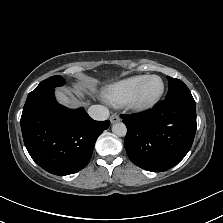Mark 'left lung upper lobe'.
I'll use <instances>...</instances> for the list:
<instances>
[{
	"mask_svg": "<svg viewBox=\"0 0 223 223\" xmlns=\"http://www.w3.org/2000/svg\"><path fill=\"white\" fill-rule=\"evenodd\" d=\"M169 90L166 99H193L188 87L179 79L167 76Z\"/></svg>",
	"mask_w": 223,
	"mask_h": 223,
	"instance_id": "1",
	"label": "left lung upper lobe"
}]
</instances>
